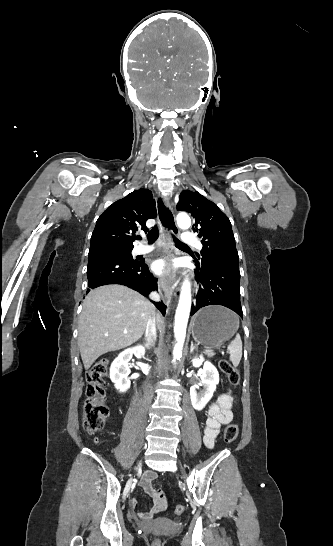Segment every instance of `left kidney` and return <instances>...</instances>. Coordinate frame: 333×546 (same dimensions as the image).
I'll list each match as a JSON object with an SVG mask.
<instances>
[{
    "label": "left kidney",
    "instance_id": "obj_1",
    "mask_svg": "<svg viewBox=\"0 0 333 546\" xmlns=\"http://www.w3.org/2000/svg\"><path fill=\"white\" fill-rule=\"evenodd\" d=\"M194 367H200L203 364L201 370V385L204 387L202 393H197L196 387L190 388V399L194 409L200 411L212 398L216 385L219 383V374L215 366L209 361H205L203 356H199L192 360Z\"/></svg>",
    "mask_w": 333,
    "mask_h": 546
}]
</instances>
